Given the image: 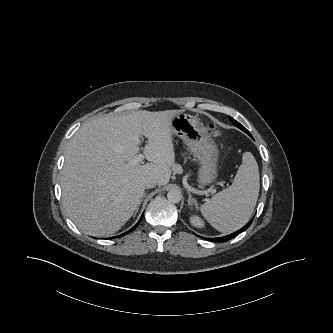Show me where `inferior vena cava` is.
Listing matches in <instances>:
<instances>
[{
	"instance_id": "obj_1",
	"label": "inferior vena cava",
	"mask_w": 333,
	"mask_h": 333,
	"mask_svg": "<svg viewBox=\"0 0 333 333\" xmlns=\"http://www.w3.org/2000/svg\"><path fill=\"white\" fill-rule=\"evenodd\" d=\"M157 185V181L155 179H147L144 183L145 188H153Z\"/></svg>"
}]
</instances>
